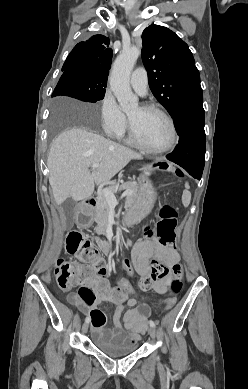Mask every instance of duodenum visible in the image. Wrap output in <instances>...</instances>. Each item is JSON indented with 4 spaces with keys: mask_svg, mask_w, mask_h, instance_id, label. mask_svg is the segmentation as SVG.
I'll return each mask as SVG.
<instances>
[{
    "mask_svg": "<svg viewBox=\"0 0 248 389\" xmlns=\"http://www.w3.org/2000/svg\"><path fill=\"white\" fill-rule=\"evenodd\" d=\"M97 206V200L94 197L87 199L86 204L81 206L77 211V221L83 228H88L90 225V218L87 216L92 213V210ZM104 252L108 254L110 252V247L105 244L103 248Z\"/></svg>",
    "mask_w": 248,
    "mask_h": 389,
    "instance_id": "410a0bca",
    "label": "duodenum"
}]
</instances>
